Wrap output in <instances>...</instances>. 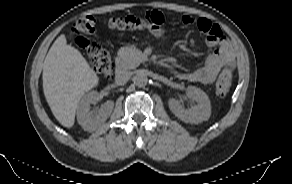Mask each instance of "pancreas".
Segmentation results:
<instances>
[{
    "instance_id": "cf45deb5",
    "label": "pancreas",
    "mask_w": 292,
    "mask_h": 184,
    "mask_svg": "<svg viewBox=\"0 0 292 184\" xmlns=\"http://www.w3.org/2000/svg\"><path fill=\"white\" fill-rule=\"evenodd\" d=\"M118 56L121 59V66L124 69L137 67L145 58L140 50L131 47H122L118 51Z\"/></svg>"
}]
</instances>
